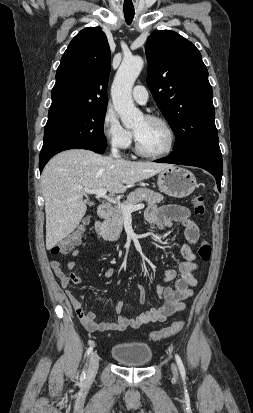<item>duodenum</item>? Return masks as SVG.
I'll list each match as a JSON object with an SVG mask.
<instances>
[{
    "label": "duodenum",
    "mask_w": 253,
    "mask_h": 413,
    "mask_svg": "<svg viewBox=\"0 0 253 413\" xmlns=\"http://www.w3.org/2000/svg\"><path fill=\"white\" fill-rule=\"evenodd\" d=\"M113 209L108 204H101L98 207V215L101 219H108L112 215ZM95 230L98 237H101V224L99 222L95 225Z\"/></svg>",
    "instance_id": "obj_1"
}]
</instances>
